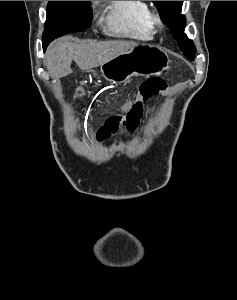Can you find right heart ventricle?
Returning a JSON list of instances; mask_svg holds the SVG:
<instances>
[{
    "label": "right heart ventricle",
    "instance_id": "1",
    "mask_svg": "<svg viewBox=\"0 0 237 300\" xmlns=\"http://www.w3.org/2000/svg\"><path fill=\"white\" fill-rule=\"evenodd\" d=\"M149 13L146 1H109L104 27L112 34L147 39L153 34Z\"/></svg>",
    "mask_w": 237,
    "mask_h": 300
}]
</instances>
